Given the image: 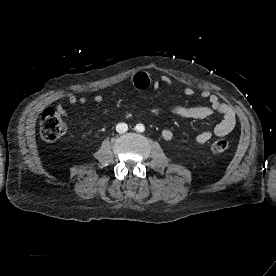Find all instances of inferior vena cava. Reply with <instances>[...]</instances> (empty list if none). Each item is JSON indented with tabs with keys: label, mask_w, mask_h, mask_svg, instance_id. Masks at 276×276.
Masks as SVG:
<instances>
[{
	"label": "inferior vena cava",
	"mask_w": 276,
	"mask_h": 276,
	"mask_svg": "<svg viewBox=\"0 0 276 276\" xmlns=\"http://www.w3.org/2000/svg\"><path fill=\"white\" fill-rule=\"evenodd\" d=\"M128 130V125L124 122L118 123L116 126V131L120 134L125 133Z\"/></svg>",
	"instance_id": "1"
}]
</instances>
